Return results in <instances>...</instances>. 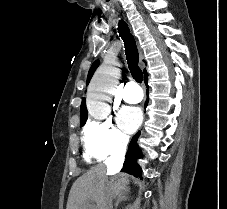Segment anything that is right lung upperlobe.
<instances>
[{
  "label": "right lung upper lobe",
  "instance_id": "1",
  "mask_svg": "<svg viewBox=\"0 0 227 209\" xmlns=\"http://www.w3.org/2000/svg\"><path fill=\"white\" fill-rule=\"evenodd\" d=\"M99 65V61L96 60L91 68L89 69V72H88V76H87V81H86V84L89 83L94 71L96 70V68L98 67ZM148 74L146 72V70H144V77H146ZM87 108H86V103H85V98H82V103H81V117H80V120L81 119H86L87 118Z\"/></svg>",
  "mask_w": 227,
  "mask_h": 209
}]
</instances>
